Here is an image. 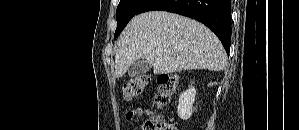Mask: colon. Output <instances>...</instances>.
Wrapping results in <instances>:
<instances>
[{"mask_svg": "<svg viewBox=\"0 0 299 130\" xmlns=\"http://www.w3.org/2000/svg\"><path fill=\"white\" fill-rule=\"evenodd\" d=\"M150 82L147 74H139L125 82L122 93L125 100L130 101L140 96ZM178 86V79L173 74H162L157 79V92L154 96V105L157 108L167 106ZM143 130H178V128L164 120L159 115H151L143 124Z\"/></svg>", "mask_w": 299, "mask_h": 130, "instance_id": "5ec220e1", "label": "colon"}]
</instances>
